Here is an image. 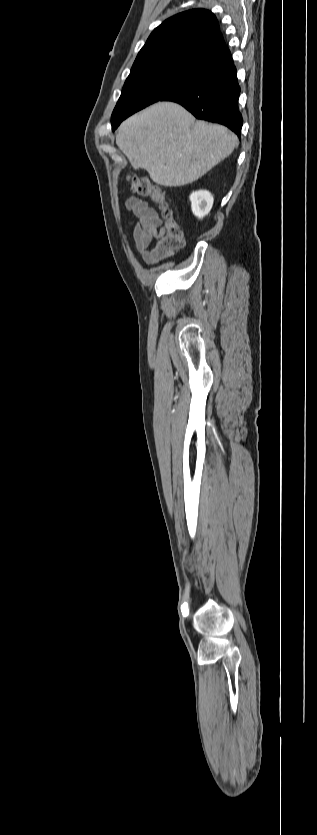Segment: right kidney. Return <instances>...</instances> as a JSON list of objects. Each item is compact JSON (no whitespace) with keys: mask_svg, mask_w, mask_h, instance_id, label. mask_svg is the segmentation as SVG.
<instances>
[{"mask_svg":"<svg viewBox=\"0 0 317 835\" xmlns=\"http://www.w3.org/2000/svg\"><path fill=\"white\" fill-rule=\"evenodd\" d=\"M191 209L193 214L202 219L213 206V196L207 190H198L190 195Z\"/></svg>","mask_w":317,"mask_h":835,"instance_id":"right-kidney-1","label":"right kidney"}]
</instances>
